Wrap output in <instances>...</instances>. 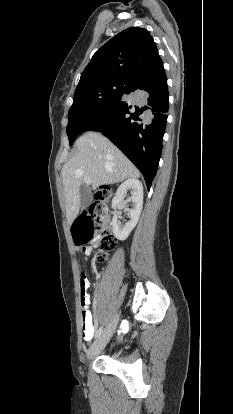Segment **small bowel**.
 <instances>
[{"label": "small bowel", "instance_id": "obj_1", "mask_svg": "<svg viewBox=\"0 0 233 414\" xmlns=\"http://www.w3.org/2000/svg\"><path fill=\"white\" fill-rule=\"evenodd\" d=\"M91 251L90 247L83 249V252L88 255ZM78 275L81 278L80 289H81V322H82V336L85 341H91L95 335V327L93 325L92 313L89 310V305L91 303L90 295L86 292L87 289H91V284L89 283V275L87 271L81 269L78 272Z\"/></svg>", "mask_w": 233, "mask_h": 414}]
</instances>
